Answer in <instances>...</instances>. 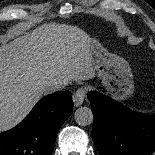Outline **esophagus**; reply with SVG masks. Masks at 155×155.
Wrapping results in <instances>:
<instances>
[{"label":"esophagus","instance_id":"1","mask_svg":"<svg viewBox=\"0 0 155 155\" xmlns=\"http://www.w3.org/2000/svg\"><path fill=\"white\" fill-rule=\"evenodd\" d=\"M86 90L84 88H79L74 94H73V103L75 107L80 106L85 98Z\"/></svg>","mask_w":155,"mask_h":155}]
</instances>
